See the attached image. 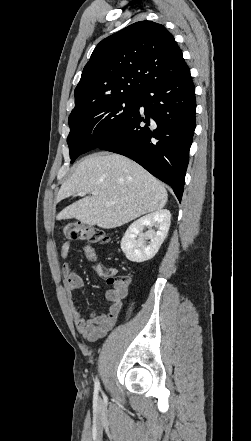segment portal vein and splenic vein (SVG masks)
<instances>
[{"mask_svg":"<svg viewBox=\"0 0 251 441\" xmlns=\"http://www.w3.org/2000/svg\"><path fill=\"white\" fill-rule=\"evenodd\" d=\"M86 194H87L86 192H79V193H78L79 196H85ZM91 194H92V195H97V192H92ZM106 204H107V205H110L111 202H107Z\"/></svg>","mask_w":251,"mask_h":441,"instance_id":"portal-vein-and-splenic-vein-1","label":"portal vein and splenic vein"}]
</instances>
